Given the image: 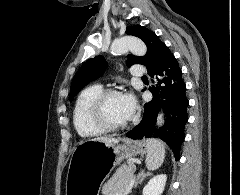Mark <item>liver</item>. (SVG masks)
Segmentation results:
<instances>
[{
	"mask_svg": "<svg viewBox=\"0 0 240 195\" xmlns=\"http://www.w3.org/2000/svg\"><path fill=\"white\" fill-rule=\"evenodd\" d=\"M94 141H104V143H119L120 139H115V137H107V135H102V137H94Z\"/></svg>",
	"mask_w": 240,
	"mask_h": 195,
	"instance_id": "6515ba94",
	"label": "liver"
}]
</instances>
